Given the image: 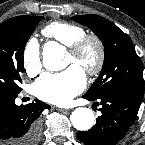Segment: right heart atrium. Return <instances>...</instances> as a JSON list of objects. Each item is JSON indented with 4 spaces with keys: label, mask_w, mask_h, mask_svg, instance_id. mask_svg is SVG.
<instances>
[{
    "label": "right heart atrium",
    "mask_w": 145,
    "mask_h": 145,
    "mask_svg": "<svg viewBox=\"0 0 145 145\" xmlns=\"http://www.w3.org/2000/svg\"><path fill=\"white\" fill-rule=\"evenodd\" d=\"M23 63L29 75H36L41 69L40 45L35 38H31L23 50Z\"/></svg>",
    "instance_id": "1"
}]
</instances>
